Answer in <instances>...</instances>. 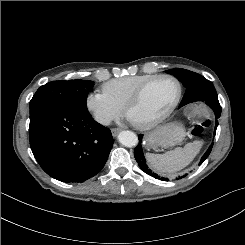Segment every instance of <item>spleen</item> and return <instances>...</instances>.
I'll return each instance as SVG.
<instances>
[{"mask_svg":"<svg viewBox=\"0 0 245 245\" xmlns=\"http://www.w3.org/2000/svg\"><path fill=\"white\" fill-rule=\"evenodd\" d=\"M203 145L202 141L187 143L184 148L178 147L164 154L146 153L148 164L161 174H174L188 166Z\"/></svg>","mask_w":245,"mask_h":245,"instance_id":"obj_1","label":"spleen"}]
</instances>
